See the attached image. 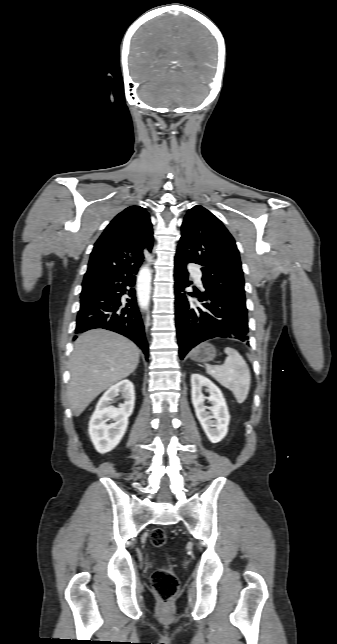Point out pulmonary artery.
I'll list each match as a JSON object with an SVG mask.
<instances>
[{
	"instance_id": "1",
	"label": "pulmonary artery",
	"mask_w": 337,
	"mask_h": 644,
	"mask_svg": "<svg viewBox=\"0 0 337 644\" xmlns=\"http://www.w3.org/2000/svg\"><path fill=\"white\" fill-rule=\"evenodd\" d=\"M189 268H190V270L193 272V274H194V276H195V278H196V282H197L199 285H202V280H201V276H202V275H201V273H200L199 269H198L195 265H190V266H189Z\"/></svg>"
}]
</instances>
